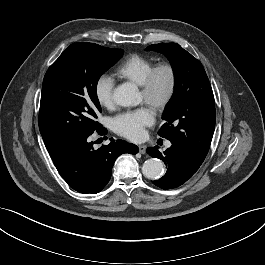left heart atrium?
<instances>
[{"instance_id":"left-heart-atrium-1","label":"left heart atrium","mask_w":265,"mask_h":265,"mask_svg":"<svg viewBox=\"0 0 265 265\" xmlns=\"http://www.w3.org/2000/svg\"><path fill=\"white\" fill-rule=\"evenodd\" d=\"M154 116L148 107H141L133 111L118 114L112 119L111 126L119 135L140 141L146 135L145 127L152 125Z\"/></svg>"}]
</instances>
